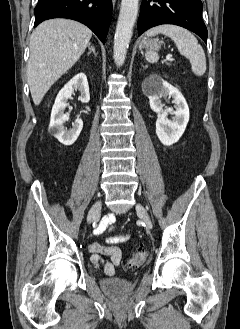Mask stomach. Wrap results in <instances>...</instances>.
<instances>
[{
    "instance_id": "0dacf381",
    "label": "stomach",
    "mask_w": 240,
    "mask_h": 329,
    "mask_svg": "<svg viewBox=\"0 0 240 329\" xmlns=\"http://www.w3.org/2000/svg\"><path fill=\"white\" fill-rule=\"evenodd\" d=\"M140 48H146L153 51H157L160 48V44L157 39L143 38L140 43Z\"/></svg>"
}]
</instances>
